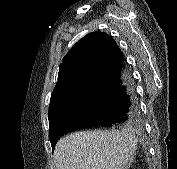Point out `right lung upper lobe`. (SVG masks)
Wrapping results in <instances>:
<instances>
[{"label":"right lung upper lobe","instance_id":"1","mask_svg":"<svg viewBox=\"0 0 177 169\" xmlns=\"http://www.w3.org/2000/svg\"><path fill=\"white\" fill-rule=\"evenodd\" d=\"M121 50L106 33H89L70 50L58 73V82L50 99V106L88 82L98 71L119 56Z\"/></svg>","mask_w":177,"mask_h":169}]
</instances>
